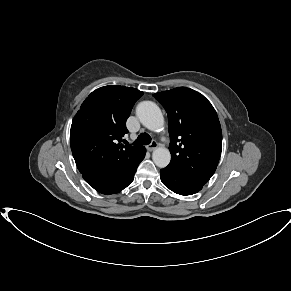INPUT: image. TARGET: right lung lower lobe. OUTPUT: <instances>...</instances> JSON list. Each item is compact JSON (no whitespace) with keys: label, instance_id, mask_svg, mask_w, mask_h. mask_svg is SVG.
Instances as JSON below:
<instances>
[{"label":"right lung lower lobe","instance_id":"1","mask_svg":"<svg viewBox=\"0 0 291 291\" xmlns=\"http://www.w3.org/2000/svg\"><path fill=\"white\" fill-rule=\"evenodd\" d=\"M145 148L132 160L118 169L104 171H83L82 177L96 191L102 194H115L130 185L138 165L144 159Z\"/></svg>","mask_w":291,"mask_h":291}]
</instances>
